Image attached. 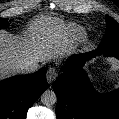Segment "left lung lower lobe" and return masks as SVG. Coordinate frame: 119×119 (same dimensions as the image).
I'll use <instances>...</instances> for the list:
<instances>
[{
    "label": "left lung lower lobe",
    "instance_id": "obj_1",
    "mask_svg": "<svg viewBox=\"0 0 119 119\" xmlns=\"http://www.w3.org/2000/svg\"><path fill=\"white\" fill-rule=\"evenodd\" d=\"M113 55L119 59V49L98 47L85 54L74 55L53 89L57 95V119H119V89L107 94L97 93L81 66L96 55Z\"/></svg>",
    "mask_w": 119,
    "mask_h": 119
}]
</instances>
